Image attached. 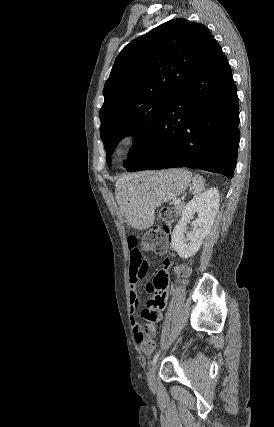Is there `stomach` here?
Masks as SVG:
<instances>
[{
    "instance_id": "0dacf381",
    "label": "stomach",
    "mask_w": 274,
    "mask_h": 427,
    "mask_svg": "<svg viewBox=\"0 0 274 427\" xmlns=\"http://www.w3.org/2000/svg\"><path fill=\"white\" fill-rule=\"evenodd\" d=\"M190 182V172L177 168L134 176L125 188L121 202L123 214L133 215L137 229H147L154 221L155 208L181 196Z\"/></svg>"
}]
</instances>
